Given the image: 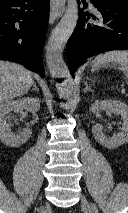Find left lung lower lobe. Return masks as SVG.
Masks as SVG:
<instances>
[{"label": "left lung lower lobe", "mask_w": 128, "mask_h": 213, "mask_svg": "<svg viewBox=\"0 0 128 213\" xmlns=\"http://www.w3.org/2000/svg\"><path fill=\"white\" fill-rule=\"evenodd\" d=\"M99 17L80 10L74 32L67 43L71 74L87 58L111 50L128 49V0H90ZM92 17L95 21L89 22Z\"/></svg>", "instance_id": "obj_1"}]
</instances>
